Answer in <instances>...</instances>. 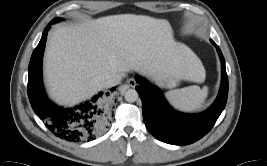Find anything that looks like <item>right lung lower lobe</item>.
<instances>
[{"instance_id":"98d812e1","label":"right lung lower lobe","mask_w":267,"mask_h":166,"mask_svg":"<svg viewBox=\"0 0 267 166\" xmlns=\"http://www.w3.org/2000/svg\"><path fill=\"white\" fill-rule=\"evenodd\" d=\"M53 23H56L54 19L49 25ZM49 28H45L29 63V101L34 112L55 136L68 142L91 141L110 122V94L99 92L92 99L71 108L57 106L47 98L42 81V57ZM111 90L114 91L115 87Z\"/></svg>"}]
</instances>
